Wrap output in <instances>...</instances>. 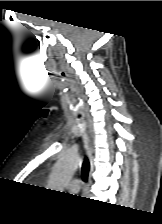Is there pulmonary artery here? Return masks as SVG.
I'll return each instance as SVG.
<instances>
[{
  "instance_id": "1",
  "label": "pulmonary artery",
  "mask_w": 162,
  "mask_h": 224,
  "mask_svg": "<svg viewBox=\"0 0 162 224\" xmlns=\"http://www.w3.org/2000/svg\"><path fill=\"white\" fill-rule=\"evenodd\" d=\"M81 186V180L77 177H73L68 183V190L70 192L76 193L79 191Z\"/></svg>"
}]
</instances>
